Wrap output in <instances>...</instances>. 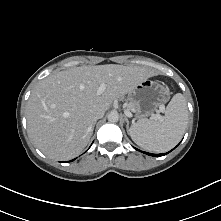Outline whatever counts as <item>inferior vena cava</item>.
<instances>
[{"label":"inferior vena cava","instance_id":"602c4592","mask_svg":"<svg viewBox=\"0 0 221 221\" xmlns=\"http://www.w3.org/2000/svg\"><path fill=\"white\" fill-rule=\"evenodd\" d=\"M104 113L105 112L103 110L96 111L92 116V121L96 122L98 119H100L104 116Z\"/></svg>","mask_w":221,"mask_h":221}]
</instances>
